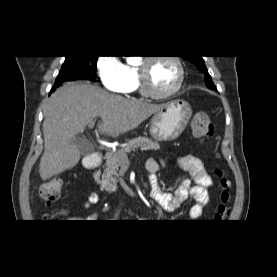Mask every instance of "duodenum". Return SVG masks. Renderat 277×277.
I'll list each match as a JSON object with an SVG mask.
<instances>
[{
	"label": "duodenum",
	"instance_id": "1",
	"mask_svg": "<svg viewBox=\"0 0 277 277\" xmlns=\"http://www.w3.org/2000/svg\"><path fill=\"white\" fill-rule=\"evenodd\" d=\"M101 164L102 155L99 152H93L89 154L84 160V166L89 170L97 169Z\"/></svg>",
	"mask_w": 277,
	"mask_h": 277
}]
</instances>
